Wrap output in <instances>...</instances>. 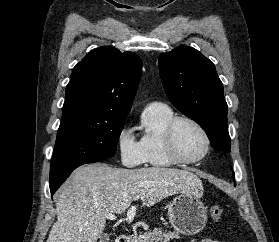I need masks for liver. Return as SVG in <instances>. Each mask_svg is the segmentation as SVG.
Returning <instances> with one entry per match:
<instances>
[{"instance_id": "1", "label": "liver", "mask_w": 279, "mask_h": 242, "mask_svg": "<svg viewBox=\"0 0 279 242\" xmlns=\"http://www.w3.org/2000/svg\"><path fill=\"white\" fill-rule=\"evenodd\" d=\"M178 193L200 197L201 180L192 172L164 167L113 168L89 164L76 169L55 194L57 221L47 242H97L105 214H119L138 198L152 206Z\"/></svg>"}]
</instances>
